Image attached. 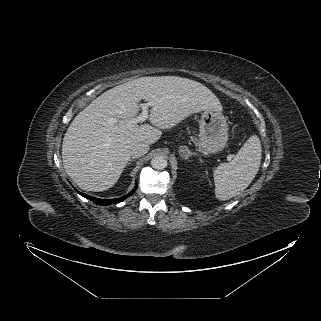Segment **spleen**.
<instances>
[{
	"instance_id": "spleen-1",
	"label": "spleen",
	"mask_w": 321,
	"mask_h": 321,
	"mask_svg": "<svg viewBox=\"0 0 321 321\" xmlns=\"http://www.w3.org/2000/svg\"><path fill=\"white\" fill-rule=\"evenodd\" d=\"M261 143L252 135L229 163H221L214 171L215 196L229 200L245 190L255 178L261 164Z\"/></svg>"
}]
</instances>
